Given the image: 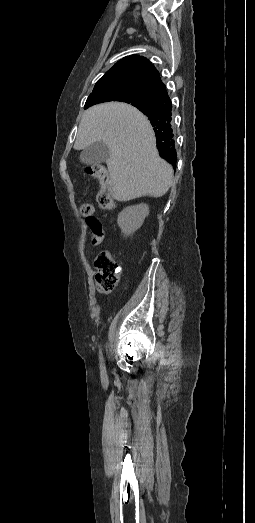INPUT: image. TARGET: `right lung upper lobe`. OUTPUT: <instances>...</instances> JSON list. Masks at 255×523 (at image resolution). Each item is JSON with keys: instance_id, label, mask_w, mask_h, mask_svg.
<instances>
[{"instance_id": "obj_1", "label": "right lung upper lobe", "mask_w": 255, "mask_h": 523, "mask_svg": "<svg viewBox=\"0 0 255 523\" xmlns=\"http://www.w3.org/2000/svg\"><path fill=\"white\" fill-rule=\"evenodd\" d=\"M127 89H139L147 93L143 102H131L145 114L156 135L160 156L176 167V150L171 127V100L153 64L142 56L132 55L117 62L96 83L85 108L108 102L106 96Z\"/></svg>"}]
</instances>
